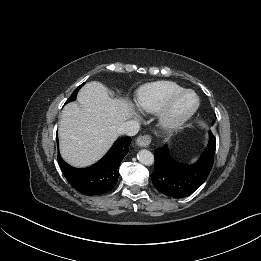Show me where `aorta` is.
<instances>
[{"instance_id":"762f6f07","label":"aorta","mask_w":261,"mask_h":261,"mask_svg":"<svg viewBox=\"0 0 261 261\" xmlns=\"http://www.w3.org/2000/svg\"><path fill=\"white\" fill-rule=\"evenodd\" d=\"M137 158L140 163L146 166H150L154 163V155L146 149L140 150L138 152Z\"/></svg>"}]
</instances>
